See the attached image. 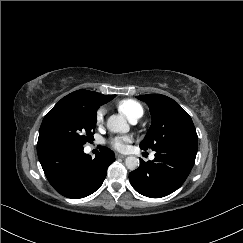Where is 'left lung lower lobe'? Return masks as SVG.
Instances as JSON below:
<instances>
[{"mask_svg":"<svg viewBox=\"0 0 243 243\" xmlns=\"http://www.w3.org/2000/svg\"><path fill=\"white\" fill-rule=\"evenodd\" d=\"M198 138L190 137L167 143L155 150L153 161H140L129 174L133 188L150 198L167 196L188 177L197 154Z\"/></svg>","mask_w":243,"mask_h":243,"instance_id":"1","label":"left lung lower lobe"}]
</instances>
